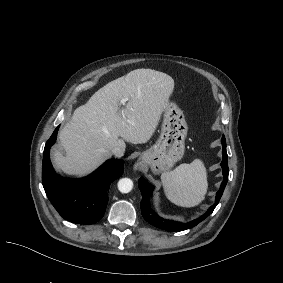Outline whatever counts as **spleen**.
I'll list each match as a JSON object with an SVG mask.
<instances>
[{
  "label": "spleen",
  "mask_w": 283,
  "mask_h": 283,
  "mask_svg": "<svg viewBox=\"0 0 283 283\" xmlns=\"http://www.w3.org/2000/svg\"><path fill=\"white\" fill-rule=\"evenodd\" d=\"M161 180L166 197L178 206H196L207 193V172L200 159L181 164L171 172H164Z\"/></svg>",
  "instance_id": "spleen-1"
}]
</instances>
